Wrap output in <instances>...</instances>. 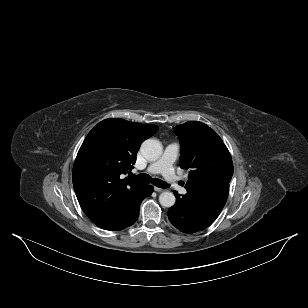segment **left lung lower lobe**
Here are the masks:
<instances>
[{
  "label": "left lung lower lobe",
  "instance_id": "1",
  "mask_svg": "<svg viewBox=\"0 0 308 308\" xmlns=\"http://www.w3.org/2000/svg\"><path fill=\"white\" fill-rule=\"evenodd\" d=\"M229 184L209 187L194 194L180 196L168 210L173 226L184 233H195L208 227L218 217L228 197Z\"/></svg>",
  "mask_w": 308,
  "mask_h": 308
}]
</instances>
